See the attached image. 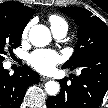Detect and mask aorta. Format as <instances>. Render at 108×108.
Instances as JSON below:
<instances>
[{"instance_id":"762f6f07","label":"aorta","mask_w":108,"mask_h":108,"mask_svg":"<svg viewBox=\"0 0 108 108\" xmlns=\"http://www.w3.org/2000/svg\"><path fill=\"white\" fill-rule=\"evenodd\" d=\"M28 36L31 44L36 47H44L48 45L51 40L49 29L41 24L32 26ZM45 90L49 95L55 96L60 90V85L56 81H48L45 84Z\"/></svg>"}]
</instances>
